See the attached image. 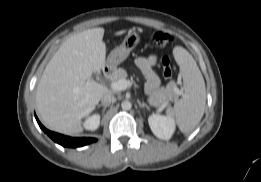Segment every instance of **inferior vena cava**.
Returning <instances> with one entry per match:
<instances>
[{"label":"inferior vena cava","mask_w":261,"mask_h":182,"mask_svg":"<svg viewBox=\"0 0 261 182\" xmlns=\"http://www.w3.org/2000/svg\"><path fill=\"white\" fill-rule=\"evenodd\" d=\"M101 101L103 104L110 105L111 103H114L116 101V98L113 94L108 93V94L103 95V97L101 98Z\"/></svg>","instance_id":"inferior-vena-cava-1"}]
</instances>
